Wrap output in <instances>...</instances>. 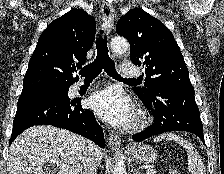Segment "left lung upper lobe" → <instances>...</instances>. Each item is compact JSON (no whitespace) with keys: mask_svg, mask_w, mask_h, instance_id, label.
Here are the masks:
<instances>
[{"mask_svg":"<svg viewBox=\"0 0 224 174\" xmlns=\"http://www.w3.org/2000/svg\"><path fill=\"white\" fill-rule=\"evenodd\" d=\"M117 33L130 43V59L144 68L145 87L133 88L149 98L158 88L193 89L182 53L172 33L158 19L131 9L117 23Z\"/></svg>","mask_w":224,"mask_h":174,"instance_id":"obj_1","label":"left lung upper lobe"}]
</instances>
